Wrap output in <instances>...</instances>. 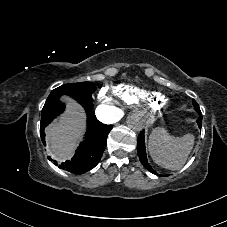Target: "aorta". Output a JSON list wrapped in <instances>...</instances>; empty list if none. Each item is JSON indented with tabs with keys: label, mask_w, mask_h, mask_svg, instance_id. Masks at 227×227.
<instances>
[{
	"label": "aorta",
	"mask_w": 227,
	"mask_h": 227,
	"mask_svg": "<svg viewBox=\"0 0 227 227\" xmlns=\"http://www.w3.org/2000/svg\"><path fill=\"white\" fill-rule=\"evenodd\" d=\"M146 124V119L143 113L133 112L127 117V125L134 131H141Z\"/></svg>",
	"instance_id": "aorta-1"
}]
</instances>
